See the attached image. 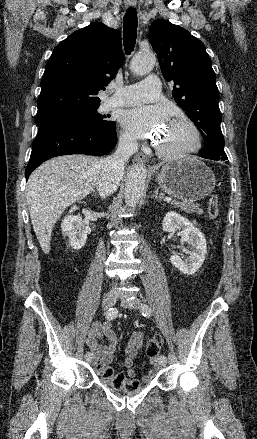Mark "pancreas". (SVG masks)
Wrapping results in <instances>:
<instances>
[{
  "label": "pancreas",
  "mask_w": 257,
  "mask_h": 439,
  "mask_svg": "<svg viewBox=\"0 0 257 439\" xmlns=\"http://www.w3.org/2000/svg\"><path fill=\"white\" fill-rule=\"evenodd\" d=\"M172 204L177 207V208H181V210L185 211L186 213H198V214H202L203 210L198 208V205H195L191 202H187V201H182V202H178V201H174L172 202Z\"/></svg>",
  "instance_id": "pancreas-1"
}]
</instances>
